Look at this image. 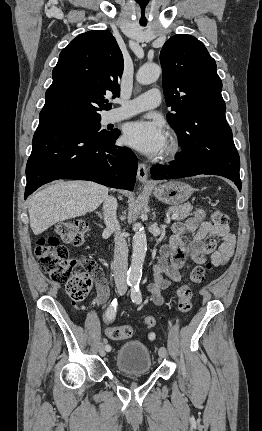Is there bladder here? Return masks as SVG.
Wrapping results in <instances>:
<instances>
[{
	"label": "bladder",
	"mask_w": 262,
	"mask_h": 431,
	"mask_svg": "<svg viewBox=\"0 0 262 431\" xmlns=\"http://www.w3.org/2000/svg\"><path fill=\"white\" fill-rule=\"evenodd\" d=\"M115 365L122 373L129 375L150 373L152 358L145 341L133 339L123 343L116 353Z\"/></svg>",
	"instance_id": "1"
}]
</instances>
